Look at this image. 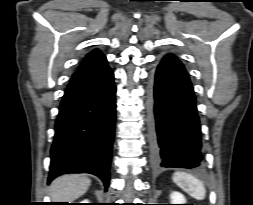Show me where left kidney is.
I'll return each mask as SVG.
<instances>
[{"instance_id":"5707ae66","label":"left kidney","mask_w":253,"mask_h":205,"mask_svg":"<svg viewBox=\"0 0 253 205\" xmlns=\"http://www.w3.org/2000/svg\"><path fill=\"white\" fill-rule=\"evenodd\" d=\"M171 198V204H186V198L183 194L180 192L174 191L170 195Z\"/></svg>"}]
</instances>
